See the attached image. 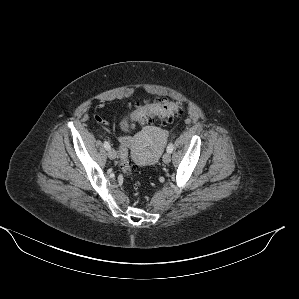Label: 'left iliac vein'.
<instances>
[{
	"instance_id": "4c4485c4",
	"label": "left iliac vein",
	"mask_w": 299,
	"mask_h": 299,
	"mask_svg": "<svg viewBox=\"0 0 299 299\" xmlns=\"http://www.w3.org/2000/svg\"><path fill=\"white\" fill-rule=\"evenodd\" d=\"M162 160L165 164H168L171 161V154L169 152L165 153Z\"/></svg>"
}]
</instances>
